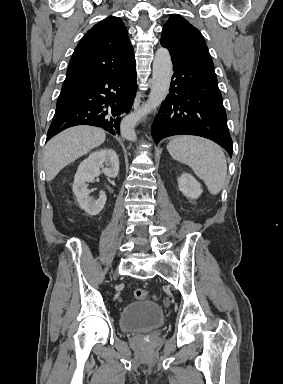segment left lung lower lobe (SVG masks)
Returning a JSON list of instances; mask_svg holds the SVG:
<instances>
[{
    "label": "left lung lower lobe",
    "instance_id": "obj_1",
    "mask_svg": "<svg viewBox=\"0 0 283 384\" xmlns=\"http://www.w3.org/2000/svg\"><path fill=\"white\" fill-rule=\"evenodd\" d=\"M171 60L174 74L152 125L154 141L179 134L197 135L215 141L232 156V139L214 70L172 56Z\"/></svg>",
    "mask_w": 283,
    "mask_h": 384
}]
</instances>
